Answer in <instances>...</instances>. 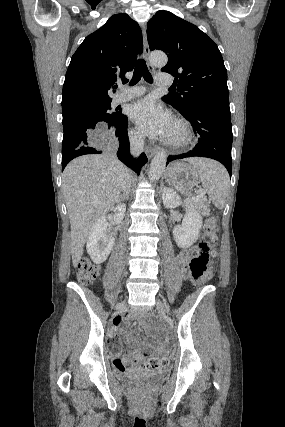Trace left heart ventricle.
<instances>
[{"label": "left heart ventricle", "mask_w": 285, "mask_h": 427, "mask_svg": "<svg viewBox=\"0 0 285 427\" xmlns=\"http://www.w3.org/2000/svg\"><path fill=\"white\" fill-rule=\"evenodd\" d=\"M181 135V130L177 124L174 123L169 138H178Z\"/></svg>", "instance_id": "obj_1"}]
</instances>
